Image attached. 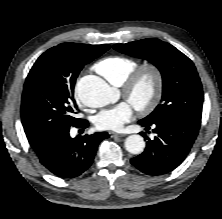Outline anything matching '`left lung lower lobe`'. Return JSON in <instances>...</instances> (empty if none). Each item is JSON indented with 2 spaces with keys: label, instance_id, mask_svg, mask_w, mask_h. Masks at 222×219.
<instances>
[{
  "label": "left lung lower lobe",
  "instance_id": "1",
  "mask_svg": "<svg viewBox=\"0 0 222 219\" xmlns=\"http://www.w3.org/2000/svg\"><path fill=\"white\" fill-rule=\"evenodd\" d=\"M146 129L154 127L156 137L147 139L144 152L131 159V163L148 175H161L179 166L189 153L199 132L200 125L180 117H167L154 122L140 120ZM148 132V130H146Z\"/></svg>",
  "mask_w": 222,
  "mask_h": 219
}]
</instances>
